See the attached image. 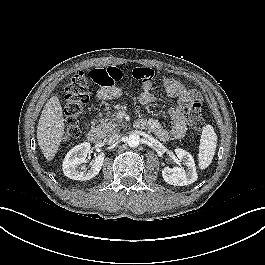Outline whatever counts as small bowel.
Listing matches in <instances>:
<instances>
[{"label": "small bowel", "mask_w": 265, "mask_h": 265, "mask_svg": "<svg viewBox=\"0 0 265 265\" xmlns=\"http://www.w3.org/2000/svg\"><path fill=\"white\" fill-rule=\"evenodd\" d=\"M142 70L144 81L142 82V90L138 96V100L142 105H148L156 100L155 95L151 92L152 74L148 68H137ZM166 92L178 100V106L170 110L171 127L165 128L161 122L154 118L142 119L139 126L150 129L162 140H180L186 134V124L184 121V110L194 100L198 99L196 91L187 89L181 82L175 79H166L164 81ZM121 90L114 85L104 86L97 92L98 100H110L118 98Z\"/></svg>", "instance_id": "small-bowel-1"}]
</instances>
